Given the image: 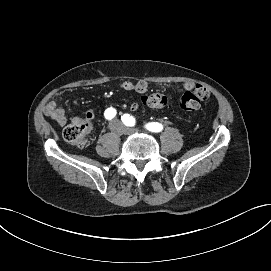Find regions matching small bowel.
<instances>
[{
  "mask_svg": "<svg viewBox=\"0 0 271 271\" xmlns=\"http://www.w3.org/2000/svg\"><path fill=\"white\" fill-rule=\"evenodd\" d=\"M194 87L195 85L193 83L186 82L183 84L181 91L187 92V91L192 90ZM147 88H148V85L145 81H138V82L125 81L122 83V89L126 92L144 93L146 92ZM129 107L131 110L135 111L138 109L139 105L137 102L132 101ZM44 114L50 119H52L59 126H64L68 120L65 114V111L61 107H59L54 101L49 102L44 107ZM94 115H95V112L92 109L86 113L84 120L89 123L90 127H91Z\"/></svg>",
  "mask_w": 271,
  "mask_h": 271,
  "instance_id": "small-bowel-1",
  "label": "small bowel"
}]
</instances>
